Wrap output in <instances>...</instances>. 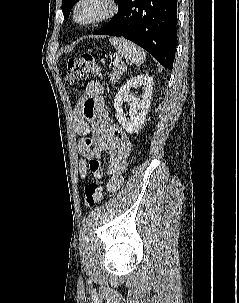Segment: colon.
Returning <instances> with one entry per match:
<instances>
[{
  "label": "colon",
  "instance_id": "colon-1",
  "mask_svg": "<svg viewBox=\"0 0 239 303\" xmlns=\"http://www.w3.org/2000/svg\"><path fill=\"white\" fill-rule=\"evenodd\" d=\"M90 75H101L100 67L91 54L86 53L80 57L70 58L67 61L65 80L68 84L79 83ZM86 120L87 121L83 127V130L87 135H89L92 130L89 124L90 115L86 114ZM84 142L88 148H93L94 142L91 137L88 136ZM88 166L94 181L85 187L83 200L87 207H93L97 205L104 197V190L101 184L103 170L97 157H91L88 160Z\"/></svg>",
  "mask_w": 239,
  "mask_h": 303
}]
</instances>
